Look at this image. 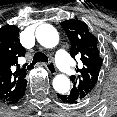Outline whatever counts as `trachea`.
I'll return each mask as SVG.
<instances>
[{"label":"trachea","instance_id":"trachea-1","mask_svg":"<svg viewBox=\"0 0 117 117\" xmlns=\"http://www.w3.org/2000/svg\"><path fill=\"white\" fill-rule=\"evenodd\" d=\"M38 62H47L48 63V57L42 52H36L34 54L32 63L28 67L33 66Z\"/></svg>","mask_w":117,"mask_h":117}]
</instances>
